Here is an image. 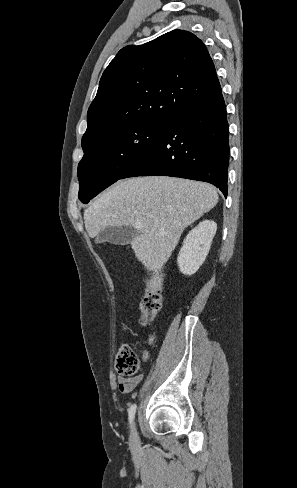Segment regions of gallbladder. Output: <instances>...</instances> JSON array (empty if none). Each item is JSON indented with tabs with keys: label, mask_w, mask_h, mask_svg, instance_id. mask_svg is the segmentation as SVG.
Listing matches in <instances>:
<instances>
[{
	"label": "gallbladder",
	"mask_w": 297,
	"mask_h": 488,
	"mask_svg": "<svg viewBox=\"0 0 297 488\" xmlns=\"http://www.w3.org/2000/svg\"><path fill=\"white\" fill-rule=\"evenodd\" d=\"M138 231L132 226H111L103 229L97 236L98 243L109 242L115 245L129 244Z\"/></svg>",
	"instance_id": "1"
}]
</instances>
